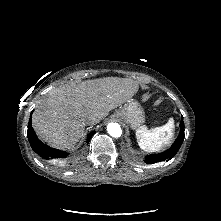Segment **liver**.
I'll use <instances>...</instances> for the list:
<instances>
[{
	"label": "liver",
	"instance_id": "liver-1",
	"mask_svg": "<svg viewBox=\"0 0 221 221\" xmlns=\"http://www.w3.org/2000/svg\"><path fill=\"white\" fill-rule=\"evenodd\" d=\"M138 82L130 78L106 77L52 89L36 105L32 125L49 145L73 148L82 137L86 119L95 125L109 111L122 106L137 93Z\"/></svg>",
	"mask_w": 221,
	"mask_h": 221
}]
</instances>
